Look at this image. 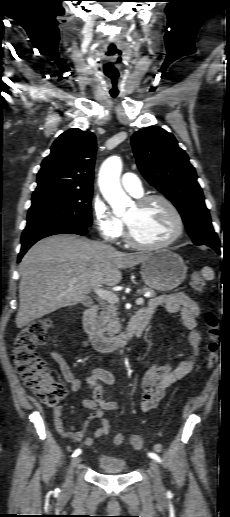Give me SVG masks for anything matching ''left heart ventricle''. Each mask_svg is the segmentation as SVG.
Segmentation results:
<instances>
[{"label":"left heart ventricle","instance_id":"obj_1","mask_svg":"<svg viewBox=\"0 0 230 517\" xmlns=\"http://www.w3.org/2000/svg\"><path fill=\"white\" fill-rule=\"evenodd\" d=\"M133 236L143 243H159L175 230V221L169 209L160 201L143 207L136 204L124 215Z\"/></svg>","mask_w":230,"mask_h":517}]
</instances>
